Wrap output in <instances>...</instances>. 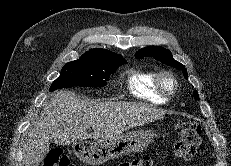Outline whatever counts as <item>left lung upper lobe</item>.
Here are the masks:
<instances>
[{"mask_svg": "<svg viewBox=\"0 0 231 166\" xmlns=\"http://www.w3.org/2000/svg\"><path fill=\"white\" fill-rule=\"evenodd\" d=\"M135 57L138 59H142L144 57H152L163 64L173 66L179 70H182L184 78L188 79L187 70L184 65L173 59L170 50L165 49L161 46H147L145 48H142L136 52ZM193 95L197 100H199L197 91H194Z\"/></svg>", "mask_w": 231, "mask_h": 166, "instance_id": "5c2ea615", "label": "left lung upper lobe"}]
</instances>
